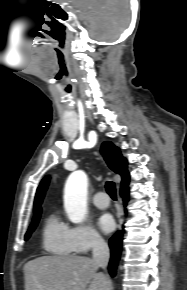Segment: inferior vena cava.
<instances>
[{"label": "inferior vena cava", "mask_w": 187, "mask_h": 290, "mask_svg": "<svg viewBox=\"0 0 187 290\" xmlns=\"http://www.w3.org/2000/svg\"><path fill=\"white\" fill-rule=\"evenodd\" d=\"M93 261L98 267L106 268L110 253L107 243L100 236H95L92 242Z\"/></svg>", "instance_id": "1"}]
</instances>
